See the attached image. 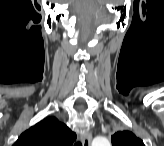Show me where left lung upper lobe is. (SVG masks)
<instances>
[{
    "label": "left lung upper lobe",
    "instance_id": "5c2ea615",
    "mask_svg": "<svg viewBox=\"0 0 164 146\" xmlns=\"http://www.w3.org/2000/svg\"><path fill=\"white\" fill-rule=\"evenodd\" d=\"M113 146H144L141 139L130 131H118L111 137Z\"/></svg>",
    "mask_w": 164,
    "mask_h": 146
}]
</instances>
